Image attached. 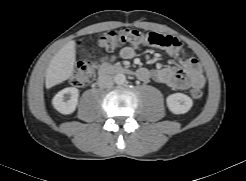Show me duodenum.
I'll return each mask as SVG.
<instances>
[{"mask_svg":"<svg viewBox=\"0 0 246 181\" xmlns=\"http://www.w3.org/2000/svg\"><path fill=\"white\" fill-rule=\"evenodd\" d=\"M123 73L133 74L134 72L128 68L119 65H110V64L102 65L98 71L100 77H103L108 74H123Z\"/></svg>","mask_w":246,"mask_h":181,"instance_id":"duodenum-1","label":"duodenum"}]
</instances>
